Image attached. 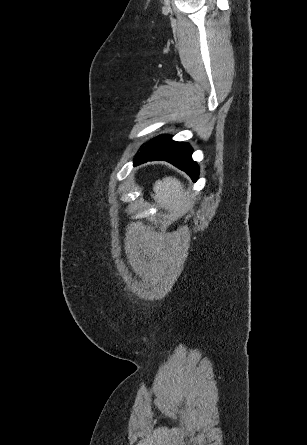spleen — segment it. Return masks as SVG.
I'll list each match as a JSON object with an SVG mask.
<instances>
[{
	"label": "spleen",
	"instance_id": "3e777b00",
	"mask_svg": "<svg viewBox=\"0 0 307 445\" xmlns=\"http://www.w3.org/2000/svg\"><path fill=\"white\" fill-rule=\"evenodd\" d=\"M153 190L152 198L168 210L188 212L192 206L188 192H184L181 180H178L175 176H164L162 180H156L153 184Z\"/></svg>",
	"mask_w": 307,
	"mask_h": 445
}]
</instances>
